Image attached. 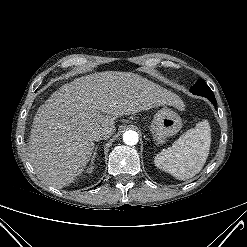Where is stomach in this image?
<instances>
[{"label":"stomach","instance_id":"0dacf381","mask_svg":"<svg viewBox=\"0 0 247 247\" xmlns=\"http://www.w3.org/2000/svg\"><path fill=\"white\" fill-rule=\"evenodd\" d=\"M181 128V117L167 107L162 108L154 115L150 125V131L158 144L165 143L168 137L177 134Z\"/></svg>","mask_w":247,"mask_h":247}]
</instances>
